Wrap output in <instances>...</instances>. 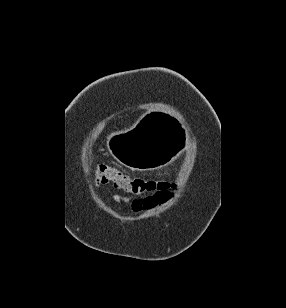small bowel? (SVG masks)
<instances>
[{"label": "small bowel", "mask_w": 286, "mask_h": 308, "mask_svg": "<svg viewBox=\"0 0 286 308\" xmlns=\"http://www.w3.org/2000/svg\"><path fill=\"white\" fill-rule=\"evenodd\" d=\"M172 198V193L166 191L163 195L157 197H147V198H138L133 199L127 196L114 195L113 200L121 204H129L133 211L141 212L145 209L154 207L155 205L165 202Z\"/></svg>", "instance_id": "c3829d8e"}]
</instances>
